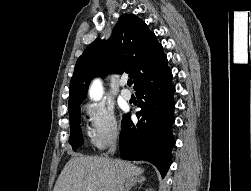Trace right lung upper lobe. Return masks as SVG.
Returning a JSON list of instances; mask_svg holds the SVG:
<instances>
[{
    "label": "right lung upper lobe",
    "mask_w": 251,
    "mask_h": 191,
    "mask_svg": "<svg viewBox=\"0 0 251 191\" xmlns=\"http://www.w3.org/2000/svg\"><path fill=\"white\" fill-rule=\"evenodd\" d=\"M108 72L129 73L135 90L170 73L162 45L135 15H121L112 37L108 41L96 39L78 58L70 83L69 107L79 106L90 81Z\"/></svg>",
    "instance_id": "cb5924a9"
}]
</instances>
